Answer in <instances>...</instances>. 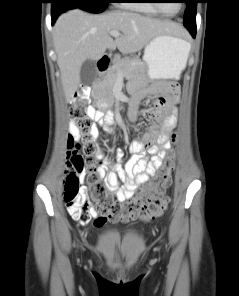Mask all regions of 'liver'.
<instances>
[{
    "label": "liver",
    "instance_id": "1",
    "mask_svg": "<svg viewBox=\"0 0 239 296\" xmlns=\"http://www.w3.org/2000/svg\"><path fill=\"white\" fill-rule=\"evenodd\" d=\"M111 31L122 35L113 40ZM182 33L177 23L128 11L92 14L72 9L63 13L55 23L53 42L66 100L77 91L81 66L87 59L98 60L107 49L116 47L123 54H133L158 35Z\"/></svg>",
    "mask_w": 239,
    "mask_h": 296
}]
</instances>
